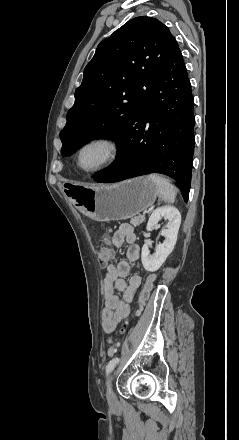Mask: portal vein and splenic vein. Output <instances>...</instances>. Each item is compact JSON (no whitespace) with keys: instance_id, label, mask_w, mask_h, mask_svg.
Instances as JSON below:
<instances>
[{"instance_id":"18ae733b","label":"portal vein and splenic vein","mask_w":239,"mask_h":440,"mask_svg":"<svg viewBox=\"0 0 239 440\" xmlns=\"http://www.w3.org/2000/svg\"><path fill=\"white\" fill-rule=\"evenodd\" d=\"M156 207H157V206L153 204V205L149 208V212H153L154 208H156ZM149 212L147 211L146 213L148 214Z\"/></svg>"}]
</instances>
